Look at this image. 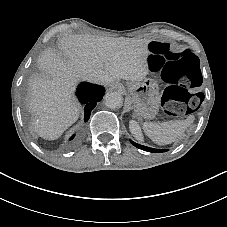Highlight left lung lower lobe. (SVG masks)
Wrapping results in <instances>:
<instances>
[{
	"instance_id": "left-lung-lower-lobe-1",
	"label": "left lung lower lobe",
	"mask_w": 227,
	"mask_h": 227,
	"mask_svg": "<svg viewBox=\"0 0 227 227\" xmlns=\"http://www.w3.org/2000/svg\"><path fill=\"white\" fill-rule=\"evenodd\" d=\"M131 143L136 146L137 148H140L142 150H145V151H148V152H153V153H160V152H165L167 150H160V149H153V148H149V147H146V146H143V145H140V144H137L133 141H131Z\"/></svg>"
}]
</instances>
